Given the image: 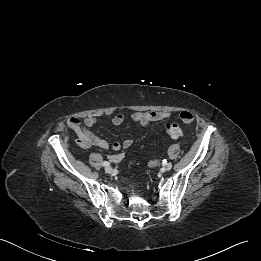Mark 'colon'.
<instances>
[{
    "label": "colon",
    "mask_w": 261,
    "mask_h": 261,
    "mask_svg": "<svg viewBox=\"0 0 261 261\" xmlns=\"http://www.w3.org/2000/svg\"><path fill=\"white\" fill-rule=\"evenodd\" d=\"M166 133L174 138V139H179L184 136V131L182 127L174 122H167L164 126Z\"/></svg>",
    "instance_id": "obj_1"
}]
</instances>
